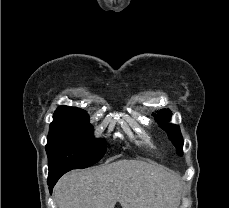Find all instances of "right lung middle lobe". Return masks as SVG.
Returning <instances> with one entry per match:
<instances>
[{
  "mask_svg": "<svg viewBox=\"0 0 229 208\" xmlns=\"http://www.w3.org/2000/svg\"><path fill=\"white\" fill-rule=\"evenodd\" d=\"M93 133L88 117L55 112L46 145L49 174L97 163L106 152V141Z\"/></svg>",
  "mask_w": 229,
  "mask_h": 208,
  "instance_id": "1",
  "label": "right lung middle lobe"
}]
</instances>
